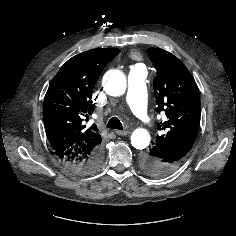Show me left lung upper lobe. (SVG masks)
Returning <instances> with one entry per match:
<instances>
[{"instance_id":"5c2ea615","label":"left lung upper lobe","mask_w":236,"mask_h":236,"mask_svg":"<svg viewBox=\"0 0 236 236\" xmlns=\"http://www.w3.org/2000/svg\"><path fill=\"white\" fill-rule=\"evenodd\" d=\"M149 57L157 70L153 83L157 112L167 119L158 124L163 130L155 146L192 148L200 121V95L194 78L173 54L161 48H149Z\"/></svg>"}]
</instances>
